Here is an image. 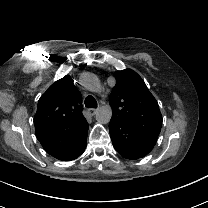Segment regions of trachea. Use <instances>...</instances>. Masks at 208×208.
<instances>
[{
  "label": "trachea",
  "instance_id": "3493384b",
  "mask_svg": "<svg viewBox=\"0 0 208 208\" xmlns=\"http://www.w3.org/2000/svg\"><path fill=\"white\" fill-rule=\"evenodd\" d=\"M85 106L88 107V108H97L98 104H97V101L95 100L94 97L92 96H87L85 98Z\"/></svg>",
  "mask_w": 208,
  "mask_h": 208
}]
</instances>
